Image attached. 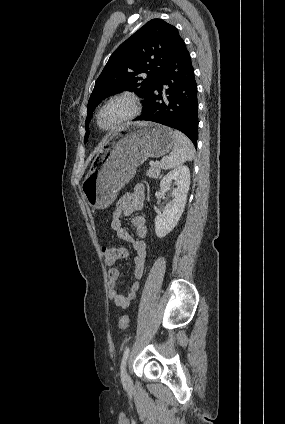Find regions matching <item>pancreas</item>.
<instances>
[{
  "label": "pancreas",
  "mask_w": 285,
  "mask_h": 424,
  "mask_svg": "<svg viewBox=\"0 0 285 424\" xmlns=\"http://www.w3.org/2000/svg\"><path fill=\"white\" fill-rule=\"evenodd\" d=\"M146 175L151 178H158L160 175V166L158 163H154L150 166L149 170L146 172Z\"/></svg>",
  "instance_id": "obj_1"
}]
</instances>
